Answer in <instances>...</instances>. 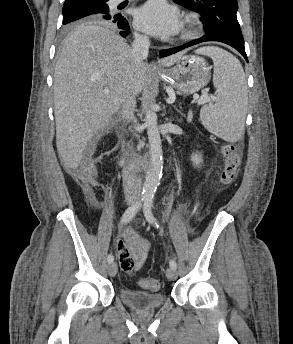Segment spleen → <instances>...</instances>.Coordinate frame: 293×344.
<instances>
[{"label":"spleen","mask_w":293,"mask_h":344,"mask_svg":"<svg viewBox=\"0 0 293 344\" xmlns=\"http://www.w3.org/2000/svg\"><path fill=\"white\" fill-rule=\"evenodd\" d=\"M196 52L212 58L213 84L217 90L215 104L201 108V122L209 132L236 142L244 132L247 109V85L242 65L231 53L218 47H203Z\"/></svg>","instance_id":"obj_1"}]
</instances>
